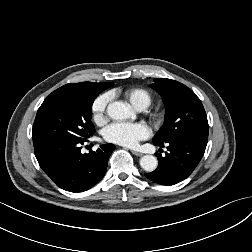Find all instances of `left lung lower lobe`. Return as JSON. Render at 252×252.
Segmentation results:
<instances>
[{"label":"left lung lower lobe","instance_id":"1","mask_svg":"<svg viewBox=\"0 0 252 252\" xmlns=\"http://www.w3.org/2000/svg\"><path fill=\"white\" fill-rule=\"evenodd\" d=\"M208 138L196 135L184 136L171 140L167 145L165 157L156 153L158 158V167L151 173H145V176L151 181L161 185H174L186 179L199 164ZM164 147V144H156Z\"/></svg>","mask_w":252,"mask_h":252}]
</instances>
